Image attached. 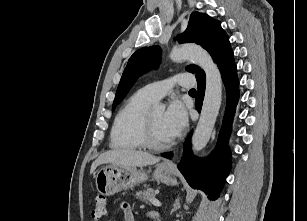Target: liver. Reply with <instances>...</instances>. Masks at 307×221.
Listing matches in <instances>:
<instances>
[{"mask_svg":"<svg viewBox=\"0 0 307 221\" xmlns=\"http://www.w3.org/2000/svg\"><path fill=\"white\" fill-rule=\"evenodd\" d=\"M160 161L159 157L151 155L147 152L120 149L110 150L101 154L91 165L90 173L92 174L97 166L101 164H115L126 167H143L153 165Z\"/></svg>","mask_w":307,"mask_h":221,"instance_id":"6515ba94","label":"liver"}]
</instances>
